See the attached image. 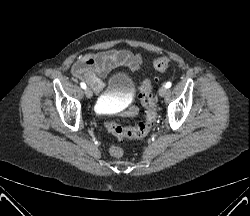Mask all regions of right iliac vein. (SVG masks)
Segmentation results:
<instances>
[{
    "mask_svg": "<svg viewBox=\"0 0 250 216\" xmlns=\"http://www.w3.org/2000/svg\"><path fill=\"white\" fill-rule=\"evenodd\" d=\"M85 95L87 98H91L93 93H92V90L90 88H86L85 89Z\"/></svg>",
    "mask_w": 250,
    "mask_h": 216,
    "instance_id": "obj_1",
    "label": "right iliac vein"
}]
</instances>
